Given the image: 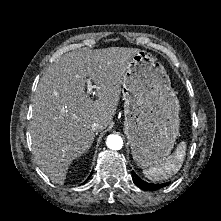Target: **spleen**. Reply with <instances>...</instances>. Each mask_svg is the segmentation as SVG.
Returning a JSON list of instances; mask_svg holds the SVG:
<instances>
[{"label": "spleen", "instance_id": "1", "mask_svg": "<svg viewBox=\"0 0 221 221\" xmlns=\"http://www.w3.org/2000/svg\"><path fill=\"white\" fill-rule=\"evenodd\" d=\"M186 148V143L180 142L175 152L168 156L163 163L143 169V174L151 181H160L172 177L182 167Z\"/></svg>", "mask_w": 221, "mask_h": 221}]
</instances>
